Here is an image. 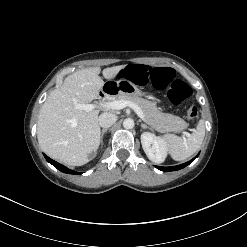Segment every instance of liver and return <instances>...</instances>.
Masks as SVG:
<instances>
[{"mask_svg": "<svg viewBox=\"0 0 247 247\" xmlns=\"http://www.w3.org/2000/svg\"><path fill=\"white\" fill-rule=\"evenodd\" d=\"M125 65L105 68V79H113ZM100 67L87 68L67 76L53 90L39 112L37 138L42 150L51 158L72 166L89 162V155L100 144L99 110L85 112L76 104L98 98L104 85Z\"/></svg>", "mask_w": 247, "mask_h": 247, "instance_id": "obj_1", "label": "liver"}]
</instances>
